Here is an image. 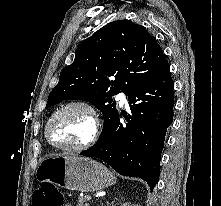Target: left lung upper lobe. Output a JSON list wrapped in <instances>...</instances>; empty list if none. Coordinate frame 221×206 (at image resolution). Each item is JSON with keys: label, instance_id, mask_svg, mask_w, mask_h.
Here are the masks:
<instances>
[{"label": "left lung upper lobe", "instance_id": "left-lung-upper-lobe-1", "mask_svg": "<svg viewBox=\"0 0 221 206\" xmlns=\"http://www.w3.org/2000/svg\"><path fill=\"white\" fill-rule=\"evenodd\" d=\"M168 68L161 47L145 27L130 20L114 21L77 48L74 62L61 71L46 107L65 99L92 103L104 117L100 140L118 115L112 96L120 92L129 95ZM111 76L115 80H110Z\"/></svg>", "mask_w": 221, "mask_h": 206}]
</instances>
